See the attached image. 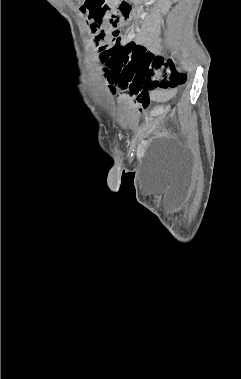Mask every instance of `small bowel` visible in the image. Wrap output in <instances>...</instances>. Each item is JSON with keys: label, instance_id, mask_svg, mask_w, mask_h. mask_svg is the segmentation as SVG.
<instances>
[{"label": "small bowel", "instance_id": "c3829d8e", "mask_svg": "<svg viewBox=\"0 0 241 379\" xmlns=\"http://www.w3.org/2000/svg\"><path fill=\"white\" fill-rule=\"evenodd\" d=\"M112 29L116 33V38H118V41H120L121 43H126L130 41V40H121L119 38V34L116 27L114 26L112 27ZM144 40L149 41L150 38L148 36H145ZM130 92L134 94L136 98L133 100V103L138 108L137 114L143 115L144 110H150L151 99L160 101V102L167 101L176 94V89L170 88V89L158 90L157 86H150L149 83H140L137 89H130Z\"/></svg>", "mask_w": 241, "mask_h": 379}]
</instances>
